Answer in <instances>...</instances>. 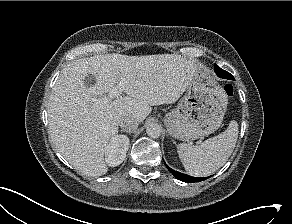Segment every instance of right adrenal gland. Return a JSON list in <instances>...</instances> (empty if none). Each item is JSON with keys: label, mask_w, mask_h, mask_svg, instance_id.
<instances>
[{"label": "right adrenal gland", "mask_w": 292, "mask_h": 224, "mask_svg": "<svg viewBox=\"0 0 292 224\" xmlns=\"http://www.w3.org/2000/svg\"><path fill=\"white\" fill-rule=\"evenodd\" d=\"M122 132H126V133H129L131 134L132 132L131 131H125V130H121Z\"/></svg>", "instance_id": "2a0ac1e0"}]
</instances>
